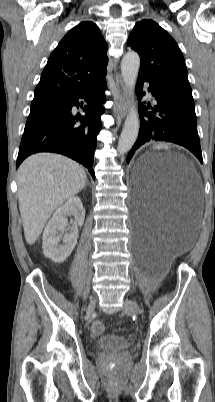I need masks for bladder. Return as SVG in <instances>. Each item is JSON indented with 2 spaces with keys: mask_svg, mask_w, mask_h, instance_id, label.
Masks as SVG:
<instances>
[{
  "mask_svg": "<svg viewBox=\"0 0 215 402\" xmlns=\"http://www.w3.org/2000/svg\"><path fill=\"white\" fill-rule=\"evenodd\" d=\"M97 349L111 352H120L130 346V342L123 336L108 335L100 337L96 342Z\"/></svg>",
  "mask_w": 215,
  "mask_h": 402,
  "instance_id": "31cf9c89",
  "label": "bladder"
}]
</instances>
